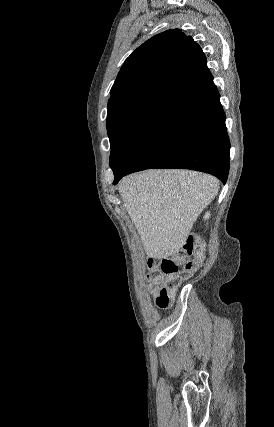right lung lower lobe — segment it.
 <instances>
[{"instance_id": "98d812e1", "label": "right lung lower lobe", "mask_w": 274, "mask_h": 427, "mask_svg": "<svg viewBox=\"0 0 274 427\" xmlns=\"http://www.w3.org/2000/svg\"><path fill=\"white\" fill-rule=\"evenodd\" d=\"M213 80L178 100L126 165L111 166L114 182L150 168H182L206 172L226 182L230 142L225 115Z\"/></svg>"}]
</instances>
